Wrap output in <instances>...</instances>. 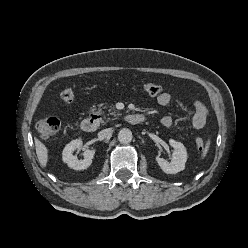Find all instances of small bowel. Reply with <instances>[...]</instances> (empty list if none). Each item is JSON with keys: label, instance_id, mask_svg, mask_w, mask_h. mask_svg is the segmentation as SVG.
Listing matches in <instances>:
<instances>
[{"label": "small bowel", "instance_id": "1", "mask_svg": "<svg viewBox=\"0 0 248 248\" xmlns=\"http://www.w3.org/2000/svg\"><path fill=\"white\" fill-rule=\"evenodd\" d=\"M171 101V95L169 93H162L157 97V102L161 106H166ZM208 109L205 104L200 101L196 100L194 102V114L191 118V126L195 129H201L205 126L208 118ZM163 126L169 128L173 126L174 119L171 116H164L161 120Z\"/></svg>", "mask_w": 248, "mask_h": 248}]
</instances>
